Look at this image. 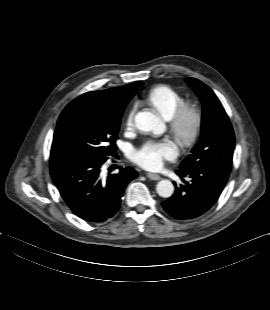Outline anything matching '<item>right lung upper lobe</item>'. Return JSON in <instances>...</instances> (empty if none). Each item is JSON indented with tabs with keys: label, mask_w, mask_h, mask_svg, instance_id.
I'll return each instance as SVG.
<instances>
[{
	"label": "right lung upper lobe",
	"mask_w": 270,
	"mask_h": 310,
	"mask_svg": "<svg viewBox=\"0 0 270 310\" xmlns=\"http://www.w3.org/2000/svg\"><path fill=\"white\" fill-rule=\"evenodd\" d=\"M138 83L107 90L88 92L84 95L94 96L113 113L122 116L125 105L136 92Z\"/></svg>",
	"instance_id": "1"
}]
</instances>
